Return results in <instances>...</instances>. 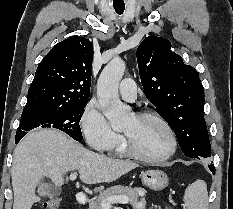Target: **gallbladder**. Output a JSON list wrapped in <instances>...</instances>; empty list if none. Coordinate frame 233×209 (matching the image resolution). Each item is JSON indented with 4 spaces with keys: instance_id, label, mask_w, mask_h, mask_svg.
<instances>
[{
    "instance_id": "1",
    "label": "gallbladder",
    "mask_w": 233,
    "mask_h": 209,
    "mask_svg": "<svg viewBox=\"0 0 233 209\" xmlns=\"http://www.w3.org/2000/svg\"><path fill=\"white\" fill-rule=\"evenodd\" d=\"M61 193V189L57 187H53L51 185L45 184V183H40L38 187V194L42 197H53L57 196Z\"/></svg>"
}]
</instances>
